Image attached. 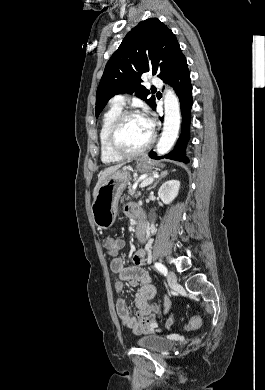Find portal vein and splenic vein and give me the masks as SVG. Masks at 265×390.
<instances>
[{
    "label": "portal vein and splenic vein",
    "mask_w": 265,
    "mask_h": 390,
    "mask_svg": "<svg viewBox=\"0 0 265 390\" xmlns=\"http://www.w3.org/2000/svg\"><path fill=\"white\" fill-rule=\"evenodd\" d=\"M153 181H154V178H153V177H149V178L143 180V181L141 182V184L139 185V187H140V188H144V187L150 185Z\"/></svg>",
    "instance_id": "1"
}]
</instances>
